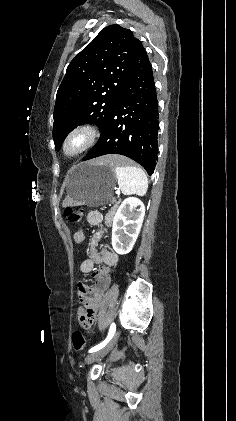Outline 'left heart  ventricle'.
Listing matches in <instances>:
<instances>
[{
	"mask_svg": "<svg viewBox=\"0 0 236 421\" xmlns=\"http://www.w3.org/2000/svg\"><path fill=\"white\" fill-rule=\"evenodd\" d=\"M78 144H79V142L77 140H74L73 142H71L68 145L67 152H68L69 155H71V154H73L75 152V150L78 147Z\"/></svg>",
	"mask_w": 236,
	"mask_h": 421,
	"instance_id": "b2bd125f",
	"label": "left heart ventricle"
}]
</instances>
